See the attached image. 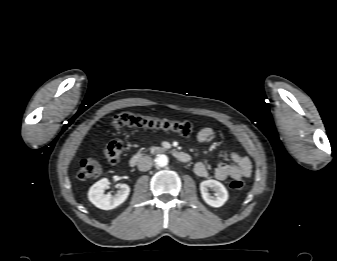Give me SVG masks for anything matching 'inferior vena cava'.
I'll return each instance as SVG.
<instances>
[{"label":"inferior vena cava","instance_id":"1","mask_svg":"<svg viewBox=\"0 0 337 261\" xmlns=\"http://www.w3.org/2000/svg\"><path fill=\"white\" fill-rule=\"evenodd\" d=\"M153 165L152 158L149 156H143L138 160V169L140 171H148Z\"/></svg>","mask_w":337,"mask_h":261}]
</instances>
